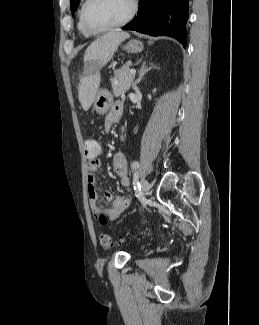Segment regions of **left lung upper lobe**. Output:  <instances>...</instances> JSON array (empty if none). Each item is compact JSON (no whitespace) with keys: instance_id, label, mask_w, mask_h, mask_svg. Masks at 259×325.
I'll return each instance as SVG.
<instances>
[{"instance_id":"5c2ea615","label":"left lung upper lobe","mask_w":259,"mask_h":325,"mask_svg":"<svg viewBox=\"0 0 259 325\" xmlns=\"http://www.w3.org/2000/svg\"><path fill=\"white\" fill-rule=\"evenodd\" d=\"M80 0H70L71 12L74 13Z\"/></svg>"}]
</instances>
